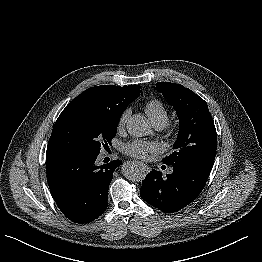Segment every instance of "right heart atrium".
<instances>
[{
	"mask_svg": "<svg viewBox=\"0 0 262 262\" xmlns=\"http://www.w3.org/2000/svg\"><path fill=\"white\" fill-rule=\"evenodd\" d=\"M131 115V109L130 108H126L122 114L120 115L119 117V120H118V129H122L125 127L129 117Z\"/></svg>",
	"mask_w": 262,
	"mask_h": 262,
	"instance_id": "1",
	"label": "right heart atrium"
}]
</instances>
